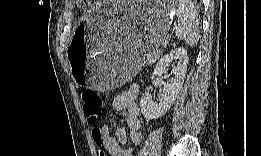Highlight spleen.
I'll return each mask as SVG.
<instances>
[{"label":"spleen","instance_id":"spleen-1","mask_svg":"<svg viewBox=\"0 0 261 156\" xmlns=\"http://www.w3.org/2000/svg\"><path fill=\"white\" fill-rule=\"evenodd\" d=\"M177 16L175 25L176 36L183 40L190 47H194L199 39V19L198 13L192 1L181 0L177 3V8L173 9Z\"/></svg>","mask_w":261,"mask_h":156}]
</instances>
